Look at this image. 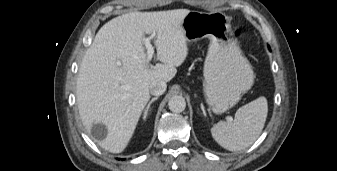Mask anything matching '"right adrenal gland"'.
Returning <instances> with one entry per match:
<instances>
[{
    "label": "right adrenal gland",
    "instance_id": "obj_1",
    "mask_svg": "<svg viewBox=\"0 0 337 171\" xmlns=\"http://www.w3.org/2000/svg\"><path fill=\"white\" fill-rule=\"evenodd\" d=\"M157 99H158V97H154V98H152L151 101L148 103V105H147V107H146V109H145V111H144V114H143V120L146 119L151 104H152L155 100H157Z\"/></svg>",
    "mask_w": 337,
    "mask_h": 171
}]
</instances>
